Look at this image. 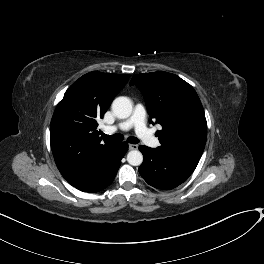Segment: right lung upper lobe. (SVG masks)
Wrapping results in <instances>:
<instances>
[{
  "mask_svg": "<svg viewBox=\"0 0 264 264\" xmlns=\"http://www.w3.org/2000/svg\"><path fill=\"white\" fill-rule=\"evenodd\" d=\"M128 79V74L87 73L58 103L50 126L51 149L60 173L72 186L98 176L115 155L119 142H102L97 121Z\"/></svg>",
  "mask_w": 264,
  "mask_h": 264,
  "instance_id": "1",
  "label": "right lung upper lobe"
}]
</instances>
